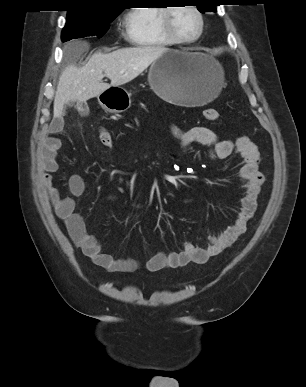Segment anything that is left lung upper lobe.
<instances>
[{
	"mask_svg": "<svg viewBox=\"0 0 306 387\" xmlns=\"http://www.w3.org/2000/svg\"><path fill=\"white\" fill-rule=\"evenodd\" d=\"M198 10L201 13L216 12V6H218L219 0H194Z\"/></svg>",
	"mask_w": 306,
	"mask_h": 387,
	"instance_id": "5c2ea615",
	"label": "left lung upper lobe"
}]
</instances>
